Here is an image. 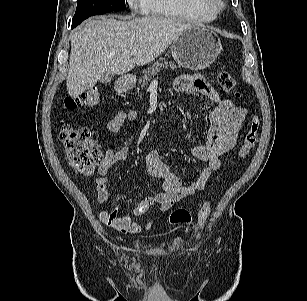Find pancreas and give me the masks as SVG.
Instances as JSON below:
<instances>
[{
	"instance_id": "obj_1",
	"label": "pancreas",
	"mask_w": 307,
	"mask_h": 301,
	"mask_svg": "<svg viewBox=\"0 0 307 301\" xmlns=\"http://www.w3.org/2000/svg\"><path fill=\"white\" fill-rule=\"evenodd\" d=\"M169 68L174 70L177 69L178 66L175 65L173 61L167 62L165 58H160L159 61L151 64V66L143 71V76L138 80L139 85H141L142 88L147 87L152 77H154L160 70H167Z\"/></svg>"
}]
</instances>
